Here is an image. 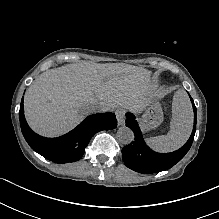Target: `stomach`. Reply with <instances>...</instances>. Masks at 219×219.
<instances>
[{
	"label": "stomach",
	"mask_w": 219,
	"mask_h": 219,
	"mask_svg": "<svg viewBox=\"0 0 219 219\" xmlns=\"http://www.w3.org/2000/svg\"><path fill=\"white\" fill-rule=\"evenodd\" d=\"M141 113L139 122L144 132L157 128L163 122L162 107L157 100H153Z\"/></svg>",
	"instance_id": "stomach-1"
}]
</instances>
